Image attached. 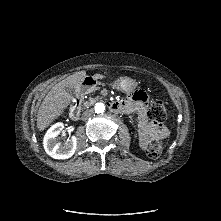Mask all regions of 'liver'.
Here are the masks:
<instances>
[{"instance_id": "6515ba94", "label": "liver", "mask_w": 221, "mask_h": 221, "mask_svg": "<svg viewBox=\"0 0 221 221\" xmlns=\"http://www.w3.org/2000/svg\"><path fill=\"white\" fill-rule=\"evenodd\" d=\"M86 78L85 71H79L55 84L45 96L37 113V128L45 130L55 119L61 116L69 106L73 97L66 91V87L79 89ZM93 79H103L104 75L95 74Z\"/></svg>"}]
</instances>
